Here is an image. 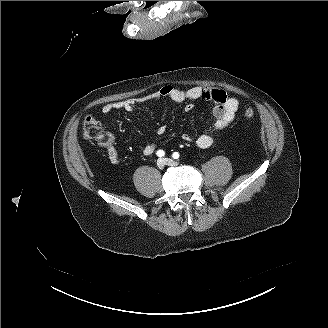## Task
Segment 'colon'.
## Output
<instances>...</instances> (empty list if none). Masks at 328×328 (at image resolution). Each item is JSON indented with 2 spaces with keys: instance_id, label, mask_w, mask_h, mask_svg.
Listing matches in <instances>:
<instances>
[{
  "instance_id": "1",
  "label": "colon",
  "mask_w": 328,
  "mask_h": 328,
  "mask_svg": "<svg viewBox=\"0 0 328 328\" xmlns=\"http://www.w3.org/2000/svg\"><path fill=\"white\" fill-rule=\"evenodd\" d=\"M254 114L252 108H246L244 111L246 118H252ZM83 133L87 139L95 140L102 146H107L111 141L110 137L102 132L101 124L91 116L84 119Z\"/></svg>"
}]
</instances>
